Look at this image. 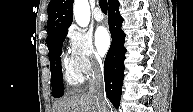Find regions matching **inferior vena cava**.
<instances>
[{
    "label": "inferior vena cava",
    "instance_id": "obj_1",
    "mask_svg": "<svg viewBox=\"0 0 193 112\" xmlns=\"http://www.w3.org/2000/svg\"><path fill=\"white\" fill-rule=\"evenodd\" d=\"M103 83V65L101 62L96 61L93 63L91 71V79L89 81V93L97 97L100 105L102 106V112H109L107 101L103 93Z\"/></svg>",
    "mask_w": 193,
    "mask_h": 112
}]
</instances>
